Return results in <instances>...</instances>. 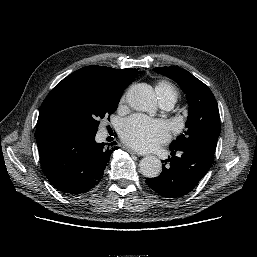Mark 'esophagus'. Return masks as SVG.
<instances>
[{
    "mask_svg": "<svg viewBox=\"0 0 257 257\" xmlns=\"http://www.w3.org/2000/svg\"><path fill=\"white\" fill-rule=\"evenodd\" d=\"M126 150H127V152H129V153L132 154V155H137V156H139V153H137V152H136L135 150H133V149L127 148Z\"/></svg>",
    "mask_w": 257,
    "mask_h": 257,
    "instance_id": "obj_1",
    "label": "esophagus"
}]
</instances>
